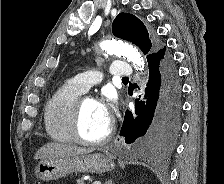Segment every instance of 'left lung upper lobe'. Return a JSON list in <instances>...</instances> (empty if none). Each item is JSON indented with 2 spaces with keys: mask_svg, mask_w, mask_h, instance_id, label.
I'll return each instance as SVG.
<instances>
[{
  "mask_svg": "<svg viewBox=\"0 0 224 184\" xmlns=\"http://www.w3.org/2000/svg\"><path fill=\"white\" fill-rule=\"evenodd\" d=\"M112 29L116 37L139 46L147 57L160 50L158 43H151L146 27L134 15L128 13L118 14L113 21Z\"/></svg>",
  "mask_w": 224,
  "mask_h": 184,
  "instance_id": "1",
  "label": "left lung upper lobe"
}]
</instances>
